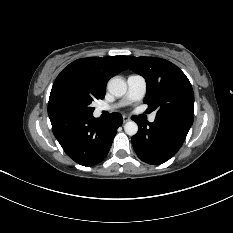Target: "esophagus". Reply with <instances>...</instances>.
Here are the masks:
<instances>
[{
    "label": "esophagus",
    "instance_id": "1",
    "mask_svg": "<svg viewBox=\"0 0 233 233\" xmlns=\"http://www.w3.org/2000/svg\"><path fill=\"white\" fill-rule=\"evenodd\" d=\"M128 121H130V117L127 115H123V122L126 123Z\"/></svg>",
    "mask_w": 233,
    "mask_h": 233
}]
</instances>
